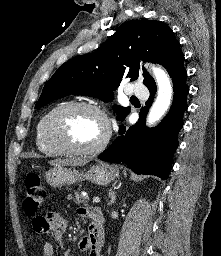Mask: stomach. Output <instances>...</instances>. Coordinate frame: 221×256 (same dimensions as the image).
<instances>
[{
	"label": "stomach",
	"instance_id": "1",
	"mask_svg": "<svg viewBox=\"0 0 221 256\" xmlns=\"http://www.w3.org/2000/svg\"><path fill=\"white\" fill-rule=\"evenodd\" d=\"M118 175V169L109 165H95L85 174L65 166L54 167L46 173V181L52 187L71 185L85 179L96 185H107Z\"/></svg>",
	"mask_w": 221,
	"mask_h": 256
}]
</instances>
